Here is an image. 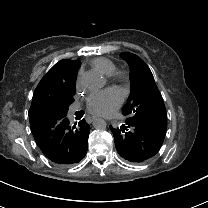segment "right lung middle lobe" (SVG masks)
<instances>
[{
  "instance_id": "obj_1",
  "label": "right lung middle lobe",
  "mask_w": 208,
  "mask_h": 208,
  "mask_svg": "<svg viewBox=\"0 0 208 208\" xmlns=\"http://www.w3.org/2000/svg\"><path fill=\"white\" fill-rule=\"evenodd\" d=\"M74 94L75 82L64 86L61 92H59L56 96L42 100L38 108L42 109L41 111H43L45 115H66L69 105L74 101Z\"/></svg>"
}]
</instances>
